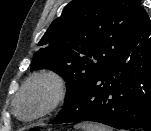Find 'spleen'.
Instances as JSON below:
<instances>
[{
  "label": "spleen",
  "mask_w": 151,
  "mask_h": 131,
  "mask_svg": "<svg viewBox=\"0 0 151 131\" xmlns=\"http://www.w3.org/2000/svg\"><path fill=\"white\" fill-rule=\"evenodd\" d=\"M76 129H81L83 131H112L108 126L94 123L77 124Z\"/></svg>",
  "instance_id": "3e777b00"
}]
</instances>
